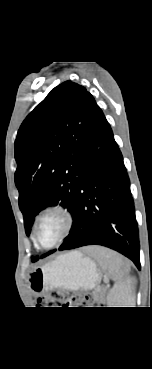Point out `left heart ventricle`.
Segmentation results:
<instances>
[{
  "mask_svg": "<svg viewBox=\"0 0 152 369\" xmlns=\"http://www.w3.org/2000/svg\"><path fill=\"white\" fill-rule=\"evenodd\" d=\"M63 230V219L58 214L46 216L39 227L38 238L42 245H52L61 235Z\"/></svg>",
  "mask_w": 152,
  "mask_h": 369,
  "instance_id": "obj_1",
  "label": "left heart ventricle"
}]
</instances>
